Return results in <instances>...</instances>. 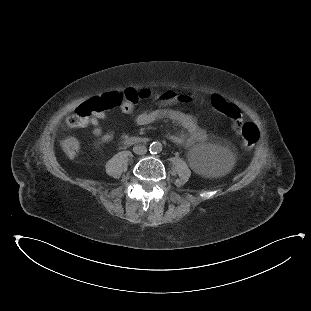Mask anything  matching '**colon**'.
Returning <instances> with one entry per match:
<instances>
[{
    "label": "colon",
    "mask_w": 311,
    "mask_h": 311,
    "mask_svg": "<svg viewBox=\"0 0 311 311\" xmlns=\"http://www.w3.org/2000/svg\"><path fill=\"white\" fill-rule=\"evenodd\" d=\"M150 93L149 87H143L132 91L122 90L110 95L102 94L98 99H90L83 106L79 107L77 111L66 116L63 122L64 126L68 130H76L89 123L101 111L108 114L122 108L125 112H131L140 101L147 99ZM181 100L185 101V98ZM211 102L214 106L220 107L221 112L234 121L237 129L242 116H244L241 111L219 94L214 95ZM242 136V147L246 150L252 149L260 137L256 124L253 121H248L245 124ZM61 148L68 158L74 159L81 150V144L77 138L70 137L62 141Z\"/></svg>",
    "instance_id": "colon-1"
}]
</instances>
